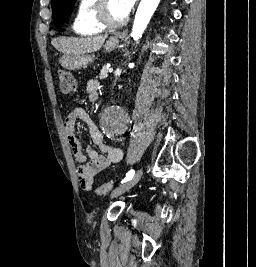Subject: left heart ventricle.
Segmentation results:
<instances>
[{
	"mask_svg": "<svg viewBox=\"0 0 256 267\" xmlns=\"http://www.w3.org/2000/svg\"><path fill=\"white\" fill-rule=\"evenodd\" d=\"M107 15H108L109 23L112 26H118V24L121 22V19H122L121 14L114 1H111L109 3Z\"/></svg>",
	"mask_w": 256,
	"mask_h": 267,
	"instance_id": "1",
	"label": "left heart ventricle"
}]
</instances>
